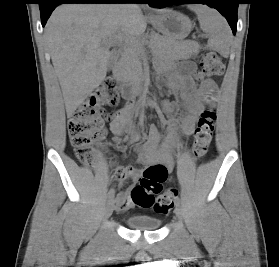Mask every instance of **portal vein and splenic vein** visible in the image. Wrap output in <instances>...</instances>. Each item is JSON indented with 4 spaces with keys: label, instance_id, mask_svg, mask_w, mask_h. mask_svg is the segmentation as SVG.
I'll return each instance as SVG.
<instances>
[{
    "label": "portal vein and splenic vein",
    "instance_id": "portal-vein-and-splenic-vein-1",
    "mask_svg": "<svg viewBox=\"0 0 279 267\" xmlns=\"http://www.w3.org/2000/svg\"><path fill=\"white\" fill-rule=\"evenodd\" d=\"M133 41H135V40H124L120 37H113V38L106 40L105 43L108 45H110V44L123 45L124 42H125V44H127V43L133 42Z\"/></svg>",
    "mask_w": 279,
    "mask_h": 267
}]
</instances>
